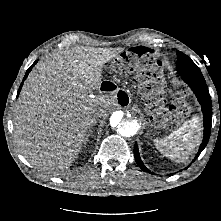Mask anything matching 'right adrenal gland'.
Instances as JSON below:
<instances>
[{"mask_svg":"<svg viewBox=\"0 0 221 221\" xmlns=\"http://www.w3.org/2000/svg\"><path fill=\"white\" fill-rule=\"evenodd\" d=\"M92 133H93V130L90 129V131H89L88 134H87V137H86V140H85V141H88V138L92 136Z\"/></svg>","mask_w":221,"mask_h":221,"instance_id":"1","label":"right adrenal gland"}]
</instances>
